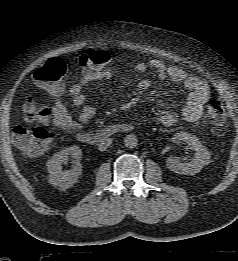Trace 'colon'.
Wrapping results in <instances>:
<instances>
[{"label":"colon","instance_id":"1","mask_svg":"<svg viewBox=\"0 0 238 261\" xmlns=\"http://www.w3.org/2000/svg\"><path fill=\"white\" fill-rule=\"evenodd\" d=\"M109 61V55L102 50H90L80 55L79 65L88 71H98ZM66 73L65 63L53 58L48 60L33 74L37 85L50 91L59 93L62 80ZM25 121L27 125H17L13 129L12 139L16 147L27 156H38L51 143L53 134L45 125L49 122V110L39 107L29 98L24 105ZM229 118L227 106L218 99H213L207 106V119L211 131L216 136L226 132Z\"/></svg>","mask_w":238,"mask_h":261}]
</instances>
